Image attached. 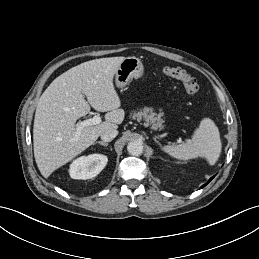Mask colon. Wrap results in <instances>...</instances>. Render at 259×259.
<instances>
[{
  "instance_id": "5ec220e1",
  "label": "colon",
  "mask_w": 259,
  "mask_h": 259,
  "mask_svg": "<svg viewBox=\"0 0 259 259\" xmlns=\"http://www.w3.org/2000/svg\"><path fill=\"white\" fill-rule=\"evenodd\" d=\"M163 73L166 76L179 80L189 96L194 97L197 95L199 91V85L196 79L187 71L178 67H165L163 69Z\"/></svg>"
}]
</instances>
